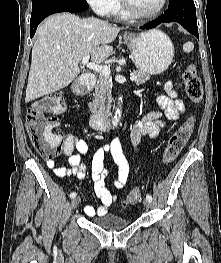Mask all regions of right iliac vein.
<instances>
[{
	"label": "right iliac vein",
	"mask_w": 221,
	"mask_h": 263,
	"mask_svg": "<svg viewBox=\"0 0 221 263\" xmlns=\"http://www.w3.org/2000/svg\"><path fill=\"white\" fill-rule=\"evenodd\" d=\"M80 197H74L73 200L71 201V208L75 209L79 203H80Z\"/></svg>",
	"instance_id": "obj_1"
}]
</instances>
